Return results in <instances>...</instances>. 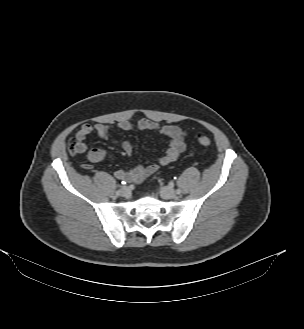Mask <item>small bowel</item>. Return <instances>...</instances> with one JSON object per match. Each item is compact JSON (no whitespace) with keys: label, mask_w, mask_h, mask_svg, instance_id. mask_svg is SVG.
<instances>
[{"label":"small bowel","mask_w":304,"mask_h":329,"mask_svg":"<svg viewBox=\"0 0 304 329\" xmlns=\"http://www.w3.org/2000/svg\"><path fill=\"white\" fill-rule=\"evenodd\" d=\"M117 127L122 131H130L133 129L155 131L164 135L170 141L166 153L158 160L157 163H147L145 165L136 166L131 169L116 170L114 173L115 177L122 181H127V182L143 181L151 174H153L158 169L159 165H167L175 161L185 149L184 139L186 136V132L174 125L161 126L155 121L143 118L138 120L137 122H133L130 120H123L118 123ZM93 131L103 139L110 138V131L108 126L101 123H97L95 125L85 123L77 131L74 138L77 141V143L80 145L79 153L85 151L86 138ZM122 148L127 155L129 156L132 155L133 147L129 141H124L122 143ZM87 157L90 162L98 163L108 158V154L102 149L92 148L88 151Z\"/></svg>","instance_id":"1"}]
</instances>
